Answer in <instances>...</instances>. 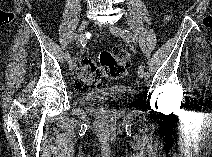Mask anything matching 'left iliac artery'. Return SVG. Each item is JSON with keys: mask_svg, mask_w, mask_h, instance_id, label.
<instances>
[{"mask_svg": "<svg viewBox=\"0 0 212 157\" xmlns=\"http://www.w3.org/2000/svg\"><path fill=\"white\" fill-rule=\"evenodd\" d=\"M125 32H126V35L124 38L127 41L135 43V37L129 31L125 30ZM144 75H145V78H150V73L148 71H145Z\"/></svg>", "mask_w": 212, "mask_h": 157, "instance_id": "44dca946", "label": "left iliac artery"}]
</instances>
